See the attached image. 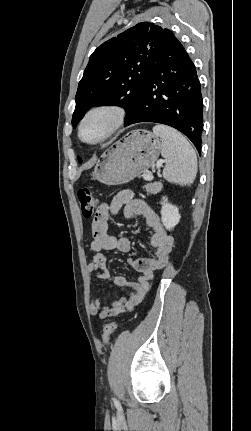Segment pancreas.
<instances>
[{
  "label": "pancreas",
  "instance_id": "pancreas-1",
  "mask_svg": "<svg viewBox=\"0 0 251 431\" xmlns=\"http://www.w3.org/2000/svg\"><path fill=\"white\" fill-rule=\"evenodd\" d=\"M144 188L148 193L156 194L160 191L161 184L159 182L150 183V184L144 185Z\"/></svg>",
  "mask_w": 251,
  "mask_h": 431
}]
</instances>
